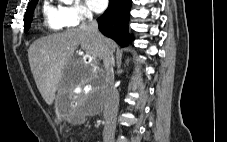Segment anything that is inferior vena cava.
<instances>
[{"label":"inferior vena cava","mask_w":227,"mask_h":142,"mask_svg":"<svg viewBox=\"0 0 227 142\" xmlns=\"http://www.w3.org/2000/svg\"><path fill=\"white\" fill-rule=\"evenodd\" d=\"M85 20L80 28L92 36L99 44L101 58L104 62V85L106 89V105H105V125L103 130V142H114V134L116 127V115L119 105V94L113 89L114 71L111 59V51L103 41V36L98 30V23L93 19L90 11L84 12Z\"/></svg>","instance_id":"inferior-vena-cava-1"}]
</instances>
